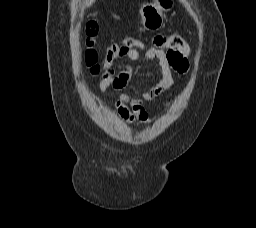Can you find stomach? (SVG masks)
<instances>
[{
  "label": "stomach",
  "mask_w": 256,
  "mask_h": 228,
  "mask_svg": "<svg viewBox=\"0 0 256 228\" xmlns=\"http://www.w3.org/2000/svg\"><path fill=\"white\" fill-rule=\"evenodd\" d=\"M174 7V0H156L153 4L144 5L140 9L141 21L145 29L157 30L164 24L163 12Z\"/></svg>",
  "instance_id": "stomach-1"
}]
</instances>
